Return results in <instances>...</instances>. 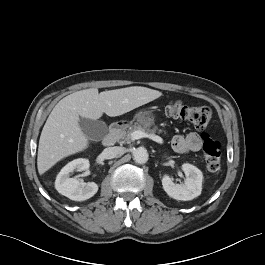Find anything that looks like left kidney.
Segmentation results:
<instances>
[{
	"mask_svg": "<svg viewBox=\"0 0 265 265\" xmlns=\"http://www.w3.org/2000/svg\"><path fill=\"white\" fill-rule=\"evenodd\" d=\"M181 169L186 176L184 184H175L165 174L162 178L163 189L170 197L176 200H192L201 194L203 174L201 170L189 163H184Z\"/></svg>",
	"mask_w": 265,
	"mask_h": 265,
	"instance_id": "5707ae66",
	"label": "left kidney"
}]
</instances>
